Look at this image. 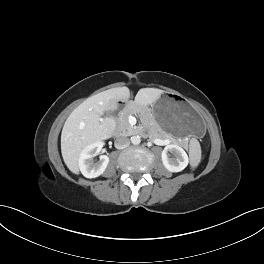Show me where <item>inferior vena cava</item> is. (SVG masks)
<instances>
[{"instance_id": "602c4592", "label": "inferior vena cava", "mask_w": 264, "mask_h": 264, "mask_svg": "<svg viewBox=\"0 0 264 264\" xmlns=\"http://www.w3.org/2000/svg\"><path fill=\"white\" fill-rule=\"evenodd\" d=\"M129 144H130V140L125 136L117 137L114 142V145L117 149H124L128 147Z\"/></svg>"}]
</instances>
